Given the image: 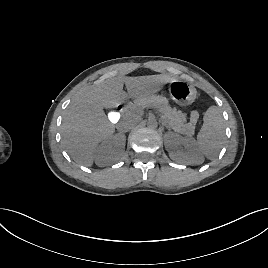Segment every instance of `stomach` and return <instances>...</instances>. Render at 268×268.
Masks as SVG:
<instances>
[{"label": "stomach", "instance_id": "obj_1", "mask_svg": "<svg viewBox=\"0 0 268 268\" xmlns=\"http://www.w3.org/2000/svg\"><path fill=\"white\" fill-rule=\"evenodd\" d=\"M169 87L172 99L179 105H190L196 98L195 87L186 81L172 80L169 82Z\"/></svg>", "mask_w": 268, "mask_h": 268}]
</instances>
